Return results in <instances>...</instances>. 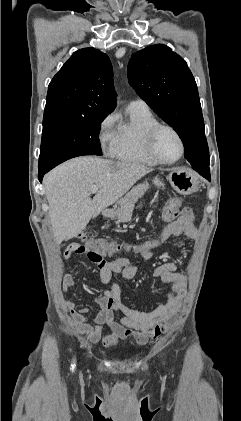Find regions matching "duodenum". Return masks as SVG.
Here are the masks:
<instances>
[{
    "label": "duodenum",
    "mask_w": 241,
    "mask_h": 421,
    "mask_svg": "<svg viewBox=\"0 0 241 421\" xmlns=\"http://www.w3.org/2000/svg\"><path fill=\"white\" fill-rule=\"evenodd\" d=\"M111 215V211L110 210H104L103 212H102V216L103 217H109Z\"/></svg>",
    "instance_id": "obj_1"
}]
</instances>
